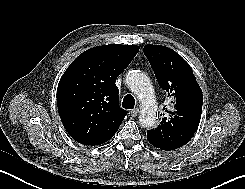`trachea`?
I'll use <instances>...</instances> for the list:
<instances>
[{
    "mask_svg": "<svg viewBox=\"0 0 245 189\" xmlns=\"http://www.w3.org/2000/svg\"><path fill=\"white\" fill-rule=\"evenodd\" d=\"M122 106L125 109H133L135 106V99L132 95L128 94L123 98Z\"/></svg>",
    "mask_w": 245,
    "mask_h": 189,
    "instance_id": "obj_1",
    "label": "trachea"
}]
</instances>
